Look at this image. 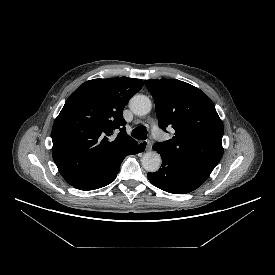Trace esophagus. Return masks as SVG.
Listing matches in <instances>:
<instances>
[{"instance_id":"34e87169","label":"esophagus","mask_w":275,"mask_h":275,"mask_svg":"<svg viewBox=\"0 0 275 275\" xmlns=\"http://www.w3.org/2000/svg\"><path fill=\"white\" fill-rule=\"evenodd\" d=\"M152 150V144L150 140L146 141V151H151Z\"/></svg>"}]
</instances>
